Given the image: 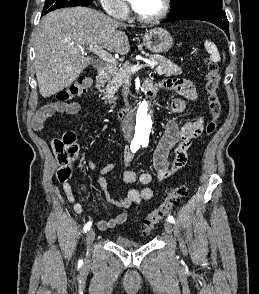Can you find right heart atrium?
Masks as SVG:
<instances>
[{
	"label": "right heart atrium",
	"instance_id": "right-heart-atrium-1",
	"mask_svg": "<svg viewBox=\"0 0 259 294\" xmlns=\"http://www.w3.org/2000/svg\"><path fill=\"white\" fill-rule=\"evenodd\" d=\"M100 2L111 16L122 19L128 15L129 8L124 0H100Z\"/></svg>",
	"mask_w": 259,
	"mask_h": 294
}]
</instances>
